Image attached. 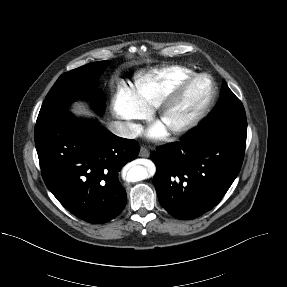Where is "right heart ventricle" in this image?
<instances>
[{
	"mask_svg": "<svg viewBox=\"0 0 287 287\" xmlns=\"http://www.w3.org/2000/svg\"><path fill=\"white\" fill-rule=\"evenodd\" d=\"M194 70L180 65L140 71L134 76L132 91L141 108L150 113Z\"/></svg>",
	"mask_w": 287,
	"mask_h": 287,
	"instance_id": "1",
	"label": "right heart ventricle"
}]
</instances>
